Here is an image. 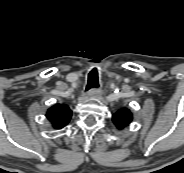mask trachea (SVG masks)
<instances>
[{
    "mask_svg": "<svg viewBox=\"0 0 184 173\" xmlns=\"http://www.w3.org/2000/svg\"><path fill=\"white\" fill-rule=\"evenodd\" d=\"M98 87H99L98 72L94 69L88 74V83L86 86V90Z\"/></svg>",
    "mask_w": 184,
    "mask_h": 173,
    "instance_id": "obj_1",
    "label": "trachea"
}]
</instances>
